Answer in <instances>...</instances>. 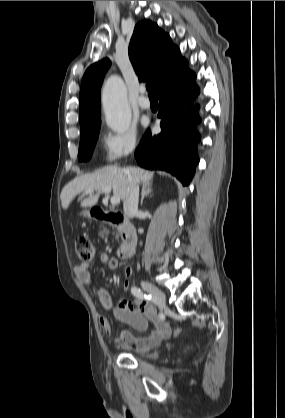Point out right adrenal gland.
I'll return each mask as SVG.
<instances>
[{
	"label": "right adrenal gland",
	"mask_w": 285,
	"mask_h": 418,
	"mask_svg": "<svg viewBox=\"0 0 285 418\" xmlns=\"http://www.w3.org/2000/svg\"><path fill=\"white\" fill-rule=\"evenodd\" d=\"M153 192L152 189V184H143L142 185V190H141V201L140 204H143V200L146 196H148L149 194H151Z\"/></svg>",
	"instance_id": "obj_1"
}]
</instances>
